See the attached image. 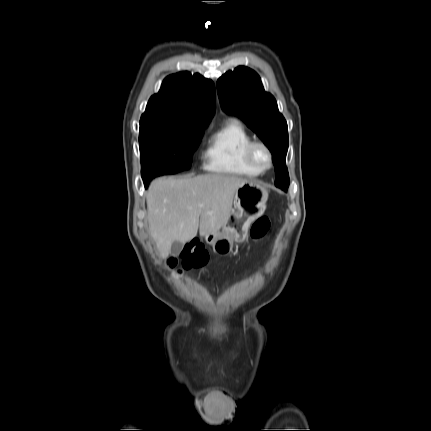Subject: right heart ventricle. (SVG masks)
<instances>
[{"label":"right heart ventricle","mask_w":431,"mask_h":431,"mask_svg":"<svg viewBox=\"0 0 431 431\" xmlns=\"http://www.w3.org/2000/svg\"><path fill=\"white\" fill-rule=\"evenodd\" d=\"M252 141L240 122L227 121L209 139L204 168L215 173L247 177L260 175L261 171L249 165L244 156L246 146Z\"/></svg>","instance_id":"right-heart-ventricle-1"}]
</instances>
